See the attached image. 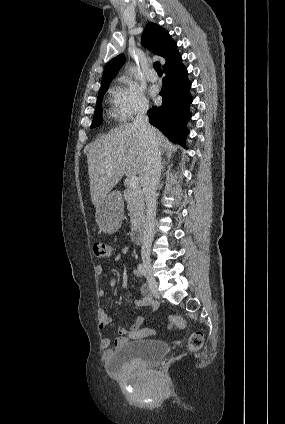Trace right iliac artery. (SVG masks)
I'll return each mask as SVG.
<instances>
[{"label": "right iliac artery", "mask_w": 285, "mask_h": 424, "mask_svg": "<svg viewBox=\"0 0 285 424\" xmlns=\"http://www.w3.org/2000/svg\"><path fill=\"white\" fill-rule=\"evenodd\" d=\"M138 271H139L142 275L146 276L145 268H144V266H143L142 264H139V265H138Z\"/></svg>", "instance_id": "obj_1"}]
</instances>
